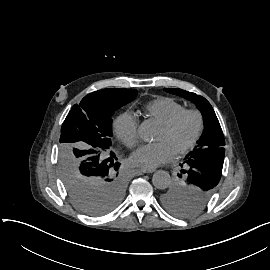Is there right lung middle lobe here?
I'll list each match as a JSON object with an SVG mask.
<instances>
[{
    "label": "right lung middle lobe",
    "instance_id": "dd1d6c3e",
    "mask_svg": "<svg viewBox=\"0 0 270 270\" xmlns=\"http://www.w3.org/2000/svg\"><path fill=\"white\" fill-rule=\"evenodd\" d=\"M136 95L137 90L125 88L92 92L73 105L62 124L59 176L71 204L86 215H103L124 197L127 178L109 150L111 116Z\"/></svg>",
    "mask_w": 270,
    "mask_h": 270
}]
</instances>
